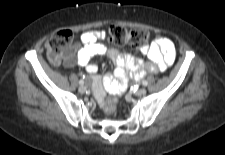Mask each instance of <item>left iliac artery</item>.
I'll list each match as a JSON object with an SVG mask.
<instances>
[{
    "instance_id": "left-iliac-artery-1",
    "label": "left iliac artery",
    "mask_w": 225,
    "mask_h": 155,
    "mask_svg": "<svg viewBox=\"0 0 225 155\" xmlns=\"http://www.w3.org/2000/svg\"><path fill=\"white\" fill-rule=\"evenodd\" d=\"M142 84H143L144 86H147V85H148V82H147L146 80H144V81L142 82Z\"/></svg>"
}]
</instances>
